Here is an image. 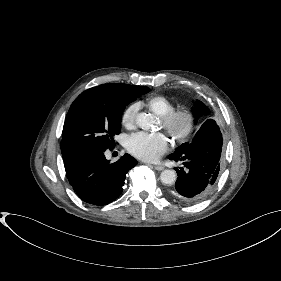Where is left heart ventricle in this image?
Masks as SVG:
<instances>
[{
    "mask_svg": "<svg viewBox=\"0 0 281 281\" xmlns=\"http://www.w3.org/2000/svg\"><path fill=\"white\" fill-rule=\"evenodd\" d=\"M181 125H182V123H181V122H179V123L177 124V126H178V127H181Z\"/></svg>",
    "mask_w": 281,
    "mask_h": 281,
    "instance_id": "obj_1",
    "label": "left heart ventricle"
}]
</instances>
